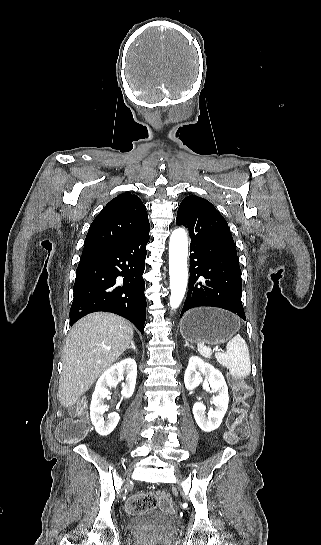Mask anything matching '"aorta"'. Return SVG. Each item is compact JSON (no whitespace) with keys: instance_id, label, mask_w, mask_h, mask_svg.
<instances>
[{"instance_id":"1","label":"aorta","mask_w":321,"mask_h":545,"mask_svg":"<svg viewBox=\"0 0 321 545\" xmlns=\"http://www.w3.org/2000/svg\"><path fill=\"white\" fill-rule=\"evenodd\" d=\"M188 238L183 228L175 229L169 241L170 307L176 309L181 304L188 281L187 269Z\"/></svg>"}]
</instances>
